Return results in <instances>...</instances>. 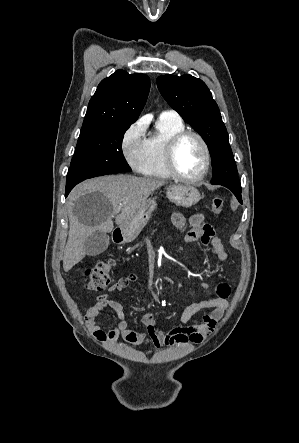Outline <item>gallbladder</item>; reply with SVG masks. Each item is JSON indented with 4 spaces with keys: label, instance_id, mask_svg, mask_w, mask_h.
Segmentation results:
<instances>
[{
    "label": "gallbladder",
    "instance_id": "bac80fb5",
    "mask_svg": "<svg viewBox=\"0 0 299 443\" xmlns=\"http://www.w3.org/2000/svg\"><path fill=\"white\" fill-rule=\"evenodd\" d=\"M109 246V236L106 233L97 231L89 236L84 244L88 256H97L103 253Z\"/></svg>",
    "mask_w": 299,
    "mask_h": 443
}]
</instances>
